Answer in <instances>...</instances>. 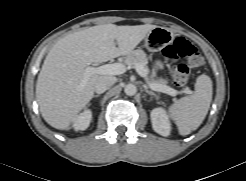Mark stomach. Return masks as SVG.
I'll list each match as a JSON object with an SVG mask.
<instances>
[{
	"label": "stomach",
	"instance_id": "obj_1",
	"mask_svg": "<svg viewBox=\"0 0 246 181\" xmlns=\"http://www.w3.org/2000/svg\"><path fill=\"white\" fill-rule=\"evenodd\" d=\"M173 33L164 27H156L145 37L144 46L150 51H158L173 41Z\"/></svg>",
	"mask_w": 246,
	"mask_h": 181
}]
</instances>
